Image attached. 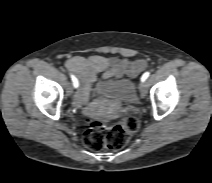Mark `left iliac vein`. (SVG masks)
<instances>
[{"mask_svg":"<svg viewBox=\"0 0 212 183\" xmlns=\"http://www.w3.org/2000/svg\"><path fill=\"white\" fill-rule=\"evenodd\" d=\"M140 94L142 97H145L147 95V86L145 82H141L139 85Z\"/></svg>","mask_w":212,"mask_h":183,"instance_id":"obj_1","label":"left iliac vein"}]
</instances>
